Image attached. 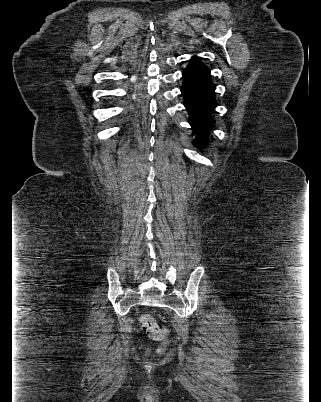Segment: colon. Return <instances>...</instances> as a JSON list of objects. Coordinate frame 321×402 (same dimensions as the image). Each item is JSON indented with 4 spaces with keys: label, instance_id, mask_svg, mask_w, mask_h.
Here are the masks:
<instances>
[{
    "label": "colon",
    "instance_id": "colon-1",
    "mask_svg": "<svg viewBox=\"0 0 321 402\" xmlns=\"http://www.w3.org/2000/svg\"><path fill=\"white\" fill-rule=\"evenodd\" d=\"M140 324L145 333L155 340L166 338V329L151 315L143 314L140 317Z\"/></svg>",
    "mask_w": 321,
    "mask_h": 402
}]
</instances>
